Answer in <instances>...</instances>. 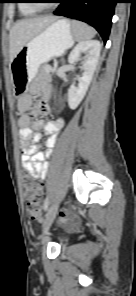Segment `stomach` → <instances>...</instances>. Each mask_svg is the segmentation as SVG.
Returning <instances> with one entry per match:
<instances>
[{
  "label": "stomach",
  "mask_w": 136,
  "mask_h": 296,
  "mask_svg": "<svg viewBox=\"0 0 136 296\" xmlns=\"http://www.w3.org/2000/svg\"><path fill=\"white\" fill-rule=\"evenodd\" d=\"M72 28L67 20L52 22L42 32L26 43L11 62L16 84L30 83L41 66L53 57L61 56L74 43ZM30 85H16L17 94H27Z\"/></svg>",
  "instance_id": "0dacf381"
}]
</instances>
